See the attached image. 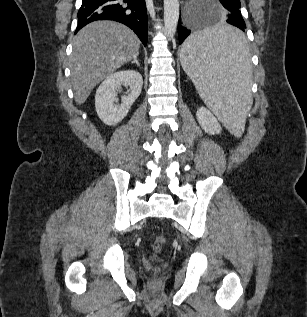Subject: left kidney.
<instances>
[{
    "label": "left kidney",
    "instance_id": "1",
    "mask_svg": "<svg viewBox=\"0 0 307 317\" xmlns=\"http://www.w3.org/2000/svg\"><path fill=\"white\" fill-rule=\"evenodd\" d=\"M196 116L200 126L206 133L212 135L221 133V125L207 108L200 107L197 110Z\"/></svg>",
    "mask_w": 307,
    "mask_h": 317
}]
</instances>
